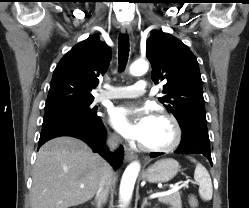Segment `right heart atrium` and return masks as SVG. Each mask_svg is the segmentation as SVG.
I'll list each match as a JSON object with an SVG mask.
<instances>
[{
    "mask_svg": "<svg viewBox=\"0 0 249 208\" xmlns=\"http://www.w3.org/2000/svg\"><path fill=\"white\" fill-rule=\"evenodd\" d=\"M109 138H110L111 141H117V139H118L115 134H110Z\"/></svg>",
    "mask_w": 249,
    "mask_h": 208,
    "instance_id": "1",
    "label": "right heart atrium"
}]
</instances>
